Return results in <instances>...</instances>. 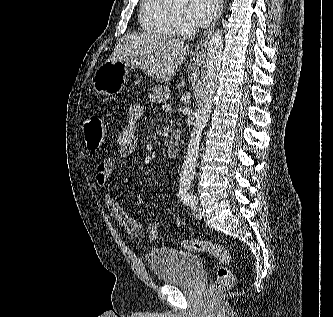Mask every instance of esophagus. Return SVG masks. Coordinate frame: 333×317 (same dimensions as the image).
Wrapping results in <instances>:
<instances>
[{
	"label": "esophagus",
	"instance_id": "1",
	"mask_svg": "<svg viewBox=\"0 0 333 317\" xmlns=\"http://www.w3.org/2000/svg\"><path fill=\"white\" fill-rule=\"evenodd\" d=\"M223 3L224 0H219V11L218 14L214 20V22L212 23V25L210 26V28L206 31V33L204 34L203 38L201 39V41L199 42L193 56L196 59H202L205 57L206 55V51H207V47H208V43H209V39L214 31L215 25L217 20L219 19L221 13H222V9H223Z\"/></svg>",
	"mask_w": 333,
	"mask_h": 317
}]
</instances>
